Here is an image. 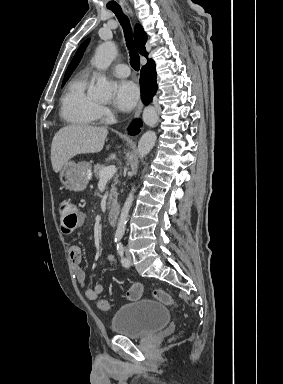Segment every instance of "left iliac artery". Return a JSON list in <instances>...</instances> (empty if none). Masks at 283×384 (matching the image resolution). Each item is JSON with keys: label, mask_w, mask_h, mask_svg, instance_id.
<instances>
[{"label": "left iliac artery", "mask_w": 283, "mask_h": 384, "mask_svg": "<svg viewBox=\"0 0 283 384\" xmlns=\"http://www.w3.org/2000/svg\"><path fill=\"white\" fill-rule=\"evenodd\" d=\"M117 253L121 258V263L124 267H128V261L124 256V247L121 243L117 244Z\"/></svg>", "instance_id": "44dca946"}]
</instances>
